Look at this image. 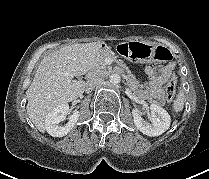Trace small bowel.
<instances>
[{"label":"small bowel","instance_id":"1","mask_svg":"<svg viewBox=\"0 0 209 179\" xmlns=\"http://www.w3.org/2000/svg\"><path fill=\"white\" fill-rule=\"evenodd\" d=\"M172 71V64L147 66L145 68V73L148 77V82L146 88L140 91L139 97L155 104L164 103L166 99L163 85L171 77Z\"/></svg>","mask_w":209,"mask_h":179}]
</instances>
